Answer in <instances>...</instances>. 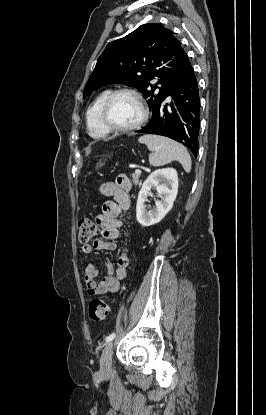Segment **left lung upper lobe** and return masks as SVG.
Listing matches in <instances>:
<instances>
[{"label": "left lung upper lobe", "instance_id": "5c2ea615", "mask_svg": "<svg viewBox=\"0 0 266 415\" xmlns=\"http://www.w3.org/2000/svg\"><path fill=\"white\" fill-rule=\"evenodd\" d=\"M187 61L186 52L171 30L158 23L141 25L107 45L86 83L83 97L101 86L123 83L138 89L153 112L166 99ZM155 78L157 83L151 84Z\"/></svg>", "mask_w": 266, "mask_h": 415}]
</instances>
